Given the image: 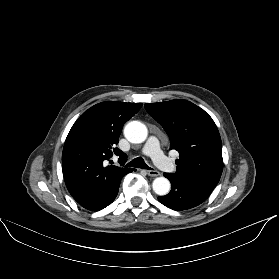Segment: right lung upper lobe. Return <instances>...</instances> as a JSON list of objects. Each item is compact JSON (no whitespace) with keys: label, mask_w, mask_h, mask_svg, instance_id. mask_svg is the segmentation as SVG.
<instances>
[{"label":"right lung upper lobe","mask_w":279,"mask_h":279,"mask_svg":"<svg viewBox=\"0 0 279 279\" xmlns=\"http://www.w3.org/2000/svg\"><path fill=\"white\" fill-rule=\"evenodd\" d=\"M142 103L102 102L85 111L72 126L62 153V171L71 196L85 205L101 199L131 168L106 165L116 154L127 155L116 147L123 125Z\"/></svg>","instance_id":"obj_1"}]
</instances>
